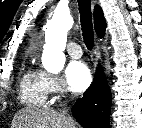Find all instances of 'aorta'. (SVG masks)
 Segmentation results:
<instances>
[{
    "label": "aorta",
    "mask_w": 142,
    "mask_h": 128,
    "mask_svg": "<svg viewBox=\"0 0 142 128\" xmlns=\"http://www.w3.org/2000/svg\"><path fill=\"white\" fill-rule=\"evenodd\" d=\"M74 24L68 12H55L45 27V45L42 63L51 73L60 72L65 64L64 50L67 42V33Z\"/></svg>",
    "instance_id": "1"
}]
</instances>
